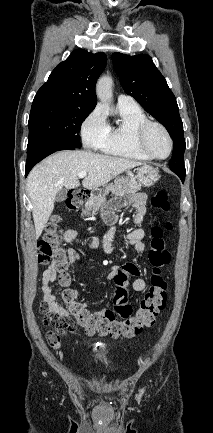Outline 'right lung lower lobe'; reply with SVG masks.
<instances>
[{"instance_id": "98d812e1", "label": "right lung lower lobe", "mask_w": 213, "mask_h": 433, "mask_svg": "<svg viewBox=\"0 0 213 433\" xmlns=\"http://www.w3.org/2000/svg\"><path fill=\"white\" fill-rule=\"evenodd\" d=\"M76 147L66 142L54 138L42 137L28 142L27 146V162L25 168V176L40 160L48 155L67 149H75Z\"/></svg>"}]
</instances>
